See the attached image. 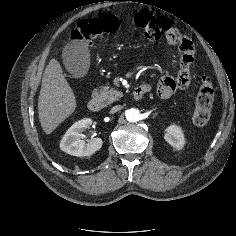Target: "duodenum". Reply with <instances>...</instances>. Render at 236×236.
I'll use <instances>...</instances> for the list:
<instances>
[{
	"instance_id": "1",
	"label": "duodenum",
	"mask_w": 236,
	"mask_h": 236,
	"mask_svg": "<svg viewBox=\"0 0 236 236\" xmlns=\"http://www.w3.org/2000/svg\"><path fill=\"white\" fill-rule=\"evenodd\" d=\"M148 91H149L148 87L142 85L134 90L133 95L136 99H141ZM101 105H102L101 99L99 98L98 95L95 94L90 99L88 103V108L93 112H97L101 109Z\"/></svg>"
}]
</instances>
